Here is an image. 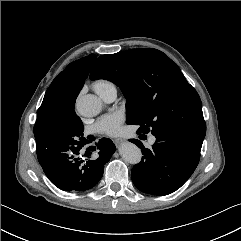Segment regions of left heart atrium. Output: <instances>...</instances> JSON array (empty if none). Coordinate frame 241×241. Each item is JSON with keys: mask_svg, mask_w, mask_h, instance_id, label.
Here are the masks:
<instances>
[{"mask_svg": "<svg viewBox=\"0 0 241 241\" xmlns=\"http://www.w3.org/2000/svg\"><path fill=\"white\" fill-rule=\"evenodd\" d=\"M124 115L121 112H114L112 114L101 117L94 125V129L103 134L116 135L120 131L121 123Z\"/></svg>", "mask_w": 241, "mask_h": 241, "instance_id": "1", "label": "left heart atrium"}]
</instances>
